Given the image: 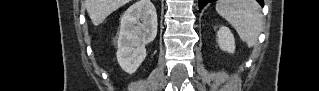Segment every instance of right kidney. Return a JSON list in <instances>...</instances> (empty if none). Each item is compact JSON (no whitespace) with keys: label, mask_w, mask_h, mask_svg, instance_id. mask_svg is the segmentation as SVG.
I'll list each match as a JSON object with an SVG mask.
<instances>
[{"label":"right kidney","mask_w":319,"mask_h":91,"mask_svg":"<svg viewBox=\"0 0 319 91\" xmlns=\"http://www.w3.org/2000/svg\"><path fill=\"white\" fill-rule=\"evenodd\" d=\"M157 34L156 9L150 0H138L121 17L117 39V61L127 73H134L146 57L145 45Z\"/></svg>","instance_id":"ca27d5eb"}]
</instances>
